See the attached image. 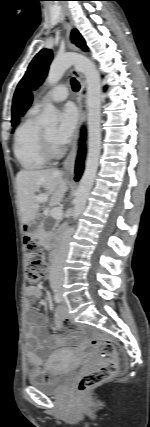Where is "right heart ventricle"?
<instances>
[{"label":"right heart ventricle","instance_id":"right-heart-ventricle-1","mask_svg":"<svg viewBox=\"0 0 150 427\" xmlns=\"http://www.w3.org/2000/svg\"><path fill=\"white\" fill-rule=\"evenodd\" d=\"M38 111L35 107L28 111L14 136V155L20 166L29 171L42 169L47 164L41 153V128L35 122Z\"/></svg>","mask_w":150,"mask_h":427}]
</instances>
